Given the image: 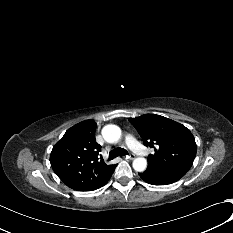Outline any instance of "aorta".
Masks as SVG:
<instances>
[{
	"label": "aorta",
	"instance_id": "obj_1",
	"mask_svg": "<svg viewBox=\"0 0 233 233\" xmlns=\"http://www.w3.org/2000/svg\"><path fill=\"white\" fill-rule=\"evenodd\" d=\"M121 129L116 125H106L102 129V136L108 143H116L121 138ZM133 168L138 172H144L147 168V160L144 157L135 158Z\"/></svg>",
	"mask_w": 233,
	"mask_h": 233
}]
</instances>
